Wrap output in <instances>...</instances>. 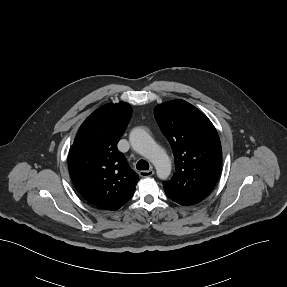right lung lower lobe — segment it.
<instances>
[{"mask_svg": "<svg viewBox=\"0 0 287 287\" xmlns=\"http://www.w3.org/2000/svg\"><path fill=\"white\" fill-rule=\"evenodd\" d=\"M131 198H128L126 200H123L119 203H117L116 205H114L113 207L109 208V210H117L119 209L120 207H122L128 200H130Z\"/></svg>", "mask_w": 287, "mask_h": 287, "instance_id": "right-lung-lower-lobe-1", "label": "right lung lower lobe"}]
</instances>
